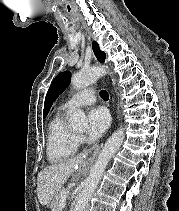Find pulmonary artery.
I'll return each instance as SVG.
<instances>
[{"label":"pulmonary artery","mask_w":179,"mask_h":211,"mask_svg":"<svg viewBox=\"0 0 179 211\" xmlns=\"http://www.w3.org/2000/svg\"><path fill=\"white\" fill-rule=\"evenodd\" d=\"M96 95L93 89H84L77 94H75L72 98L66 101L62 105V109L66 111L73 110L75 108L91 105L95 102Z\"/></svg>","instance_id":"1"}]
</instances>
